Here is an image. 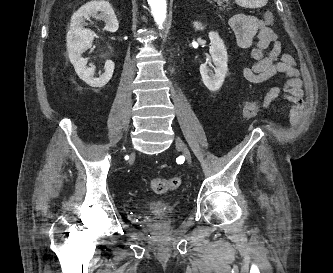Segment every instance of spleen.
<instances>
[{
  "instance_id": "1",
  "label": "spleen",
  "mask_w": 333,
  "mask_h": 273,
  "mask_svg": "<svg viewBox=\"0 0 333 273\" xmlns=\"http://www.w3.org/2000/svg\"><path fill=\"white\" fill-rule=\"evenodd\" d=\"M235 2L245 8H260L266 5L268 0H235Z\"/></svg>"
}]
</instances>
